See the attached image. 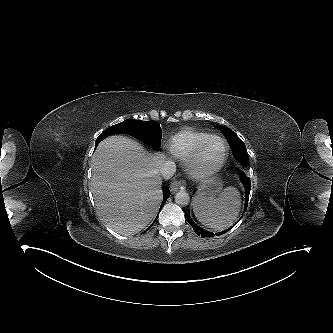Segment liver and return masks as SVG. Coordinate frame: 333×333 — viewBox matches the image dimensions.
<instances>
[{
    "mask_svg": "<svg viewBox=\"0 0 333 333\" xmlns=\"http://www.w3.org/2000/svg\"><path fill=\"white\" fill-rule=\"evenodd\" d=\"M165 159L121 135L99 144L92 157L91 187L98 214L109 228L133 235L152 221L162 201L159 166Z\"/></svg>",
    "mask_w": 333,
    "mask_h": 333,
    "instance_id": "liver-1",
    "label": "liver"
}]
</instances>
